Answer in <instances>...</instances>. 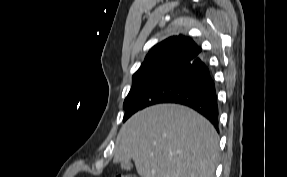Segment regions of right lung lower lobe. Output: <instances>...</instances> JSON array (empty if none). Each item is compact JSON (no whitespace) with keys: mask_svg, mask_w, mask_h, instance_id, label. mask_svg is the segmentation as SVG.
Segmentation results:
<instances>
[{"mask_svg":"<svg viewBox=\"0 0 287 177\" xmlns=\"http://www.w3.org/2000/svg\"><path fill=\"white\" fill-rule=\"evenodd\" d=\"M178 103L191 107L218 129L219 113L215 83L200 56L185 62L156 79L128 108L129 117L147 106Z\"/></svg>","mask_w":287,"mask_h":177,"instance_id":"98d812e1","label":"right lung lower lobe"}]
</instances>
